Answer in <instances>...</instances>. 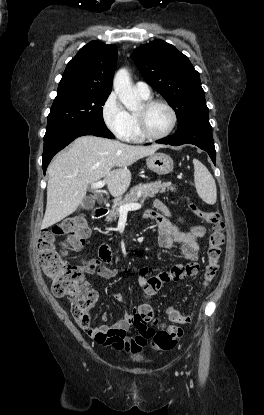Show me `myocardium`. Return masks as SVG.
<instances>
[{"instance_id":"f54148a6","label":"myocardium","mask_w":264,"mask_h":415,"mask_svg":"<svg viewBox=\"0 0 264 415\" xmlns=\"http://www.w3.org/2000/svg\"><path fill=\"white\" fill-rule=\"evenodd\" d=\"M156 105H162L165 108H167L172 116L171 125L168 128V130L159 135H153L148 131L147 126H146V120H145V112ZM135 116H136L137 130H138L139 135L143 139L153 140V141L161 140V139L168 137L174 131V129L176 128L177 122H178V115H177L176 110L173 108L171 104H169L167 101L162 100V99L146 100L142 104V110L137 111L135 113Z\"/></svg>"}]
</instances>
